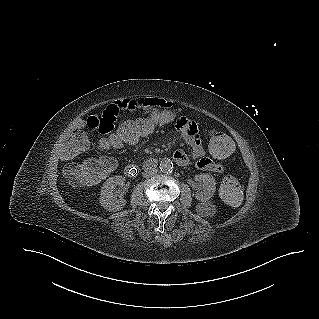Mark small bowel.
Here are the masks:
<instances>
[{
	"label": "small bowel",
	"instance_id": "1",
	"mask_svg": "<svg viewBox=\"0 0 319 319\" xmlns=\"http://www.w3.org/2000/svg\"><path fill=\"white\" fill-rule=\"evenodd\" d=\"M169 106V102L161 98L112 99L104 105L97 106L92 115L78 122L74 127V132L82 131L85 128L94 134L109 135L114 132L116 122L121 120L128 110L168 108ZM175 121L177 130L184 135L185 142L191 149V159L185 150L176 151L174 153L176 162L180 165L194 164L200 169L221 172V165L205 156L199 140L196 121H190L189 115H176Z\"/></svg>",
	"mask_w": 319,
	"mask_h": 319
}]
</instances>
